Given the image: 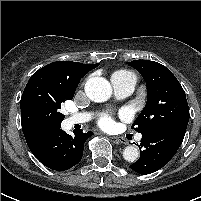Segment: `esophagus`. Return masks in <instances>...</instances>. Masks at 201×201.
<instances>
[{
  "mask_svg": "<svg viewBox=\"0 0 201 201\" xmlns=\"http://www.w3.org/2000/svg\"><path fill=\"white\" fill-rule=\"evenodd\" d=\"M112 138L118 143L128 144L127 140L123 137L116 136V137H112Z\"/></svg>",
  "mask_w": 201,
  "mask_h": 201,
  "instance_id": "obj_1",
  "label": "esophagus"
}]
</instances>
